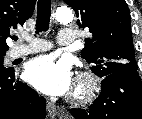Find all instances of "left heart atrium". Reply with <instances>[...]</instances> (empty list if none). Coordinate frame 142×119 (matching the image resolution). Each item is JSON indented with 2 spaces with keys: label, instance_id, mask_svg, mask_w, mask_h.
Listing matches in <instances>:
<instances>
[{
  "label": "left heart atrium",
  "instance_id": "obj_1",
  "mask_svg": "<svg viewBox=\"0 0 142 119\" xmlns=\"http://www.w3.org/2000/svg\"><path fill=\"white\" fill-rule=\"evenodd\" d=\"M26 80L37 90L49 95H62L72 84L71 70L67 63L56 62L49 56L31 60L25 68Z\"/></svg>",
  "mask_w": 142,
  "mask_h": 119
}]
</instances>
